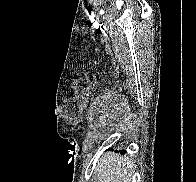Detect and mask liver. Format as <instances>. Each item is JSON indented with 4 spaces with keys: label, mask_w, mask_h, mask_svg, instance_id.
<instances>
[{
    "label": "liver",
    "mask_w": 196,
    "mask_h": 182,
    "mask_svg": "<svg viewBox=\"0 0 196 182\" xmlns=\"http://www.w3.org/2000/svg\"><path fill=\"white\" fill-rule=\"evenodd\" d=\"M96 182H130L132 162L114 153L104 154L95 168Z\"/></svg>",
    "instance_id": "liver-1"
}]
</instances>
